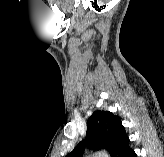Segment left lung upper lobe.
Masks as SVG:
<instances>
[{
    "label": "left lung upper lobe",
    "instance_id": "left-lung-upper-lobe-1",
    "mask_svg": "<svg viewBox=\"0 0 164 157\" xmlns=\"http://www.w3.org/2000/svg\"><path fill=\"white\" fill-rule=\"evenodd\" d=\"M125 128L118 116L109 111H95L87 121V136L66 157H82L86 145L107 148L113 154L116 147L127 139Z\"/></svg>",
    "mask_w": 164,
    "mask_h": 157
}]
</instances>
